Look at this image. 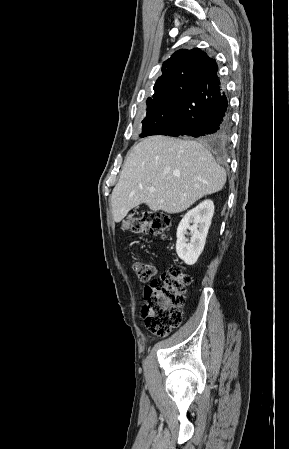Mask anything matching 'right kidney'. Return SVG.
<instances>
[{"label": "right kidney", "instance_id": "obj_1", "mask_svg": "<svg viewBox=\"0 0 289 449\" xmlns=\"http://www.w3.org/2000/svg\"><path fill=\"white\" fill-rule=\"evenodd\" d=\"M213 214L214 203L207 199L188 211L180 221L177 228L176 252L187 265L195 264L202 253ZM186 234L191 236L190 241L185 237Z\"/></svg>", "mask_w": 289, "mask_h": 449}]
</instances>
